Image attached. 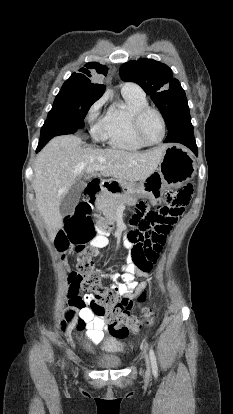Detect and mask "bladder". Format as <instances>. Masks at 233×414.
<instances>
[{
  "label": "bladder",
  "instance_id": "31cf9c89",
  "mask_svg": "<svg viewBox=\"0 0 233 414\" xmlns=\"http://www.w3.org/2000/svg\"><path fill=\"white\" fill-rule=\"evenodd\" d=\"M122 348L123 344L117 337L109 338L103 345V350L107 354L93 357L92 362L94 366L104 370L121 368L123 366V359L116 355V353L122 350Z\"/></svg>",
  "mask_w": 233,
  "mask_h": 414
}]
</instances>
